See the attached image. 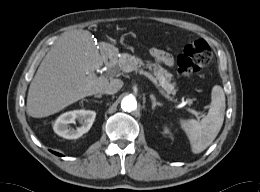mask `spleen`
<instances>
[{
	"mask_svg": "<svg viewBox=\"0 0 260 192\" xmlns=\"http://www.w3.org/2000/svg\"><path fill=\"white\" fill-rule=\"evenodd\" d=\"M225 94L221 86L215 85L211 91V104L208 114L201 121L180 119L181 128L189 138L191 151L201 153L218 135L225 114Z\"/></svg>",
	"mask_w": 260,
	"mask_h": 192,
	"instance_id": "spleen-1",
	"label": "spleen"
}]
</instances>
